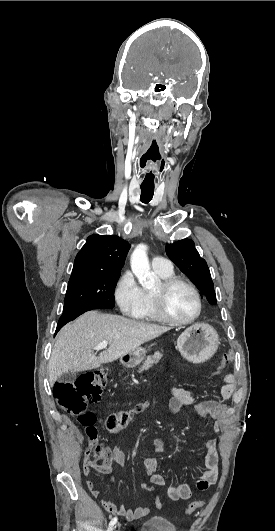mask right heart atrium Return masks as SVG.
<instances>
[{
    "mask_svg": "<svg viewBox=\"0 0 275 531\" xmlns=\"http://www.w3.org/2000/svg\"><path fill=\"white\" fill-rule=\"evenodd\" d=\"M115 299L126 316L136 317L144 309L146 293L131 271H126L120 277L115 288Z\"/></svg>",
    "mask_w": 275,
    "mask_h": 531,
    "instance_id": "1",
    "label": "right heart atrium"
}]
</instances>
